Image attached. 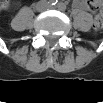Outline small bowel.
<instances>
[{
  "mask_svg": "<svg viewBox=\"0 0 103 103\" xmlns=\"http://www.w3.org/2000/svg\"><path fill=\"white\" fill-rule=\"evenodd\" d=\"M77 5H78L79 7H81V8H87V9H89V4H88V2H86V1H79V2H77ZM3 6H4V7H8V6H9V3H8V2H5V3L3 4Z\"/></svg>",
  "mask_w": 103,
  "mask_h": 103,
  "instance_id": "obj_1",
  "label": "small bowel"
}]
</instances>
